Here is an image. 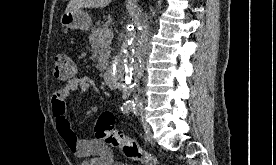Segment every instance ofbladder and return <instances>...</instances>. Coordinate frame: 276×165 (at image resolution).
<instances>
[{"mask_svg":"<svg viewBox=\"0 0 276 165\" xmlns=\"http://www.w3.org/2000/svg\"><path fill=\"white\" fill-rule=\"evenodd\" d=\"M115 165H133V164L121 162V163H118V164H115Z\"/></svg>","mask_w":276,"mask_h":165,"instance_id":"31cf9c89","label":"bladder"}]
</instances>
